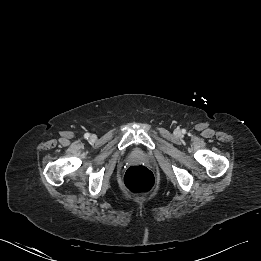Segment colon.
<instances>
[{
	"instance_id": "colon-1",
	"label": "colon",
	"mask_w": 261,
	"mask_h": 261,
	"mask_svg": "<svg viewBox=\"0 0 261 261\" xmlns=\"http://www.w3.org/2000/svg\"><path fill=\"white\" fill-rule=\"evenodd\" d=\"M153 173L145 166H131L122 179L124 190L130 194H142L150 191L154 186Z\"/></svg>"
}]
</instances>
